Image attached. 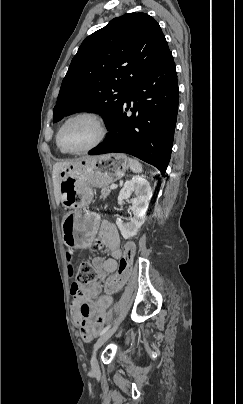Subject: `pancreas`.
Masks as SVG:
<instances>
[{"mask_svg":"<svg viewBox=\"0 0 243 404\" xmlns=\"http://www.w3.org/2000/svg\"><path fill=\"white\" fill-rule=\"evenodd\" d=\"M111 190H109V186H105V188H102L101 190V196L100 198H106V196H109Z\"/></svg>","mask_w":243,"mask_h":404,"instance_id":"obj_1","label":"pancreas"}]
</instances>
